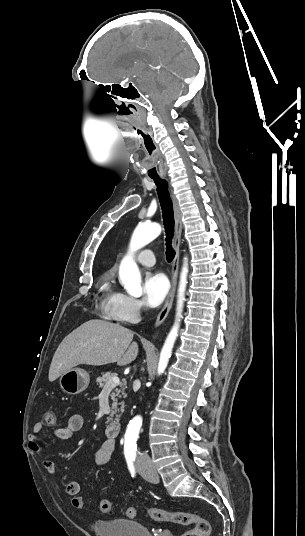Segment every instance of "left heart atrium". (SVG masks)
<instances>
[{
  "label": "left heart atrium",
  "mask_w": 305,
  "mask_h": 536,
  "mask_svg": "<svg viewBox=\"0 0 305 536\" xmlns=\"http://www.w3.org/2000/svg\"><path fill=\"white\" fill-rule=\"evenodd\" d=\"M144 296L150 307L159 306L168 292L167 278L161 273L147 274L144 279Z\"/></svg>",
  "instance_id": "39dd6f15"
}]
</instances>
